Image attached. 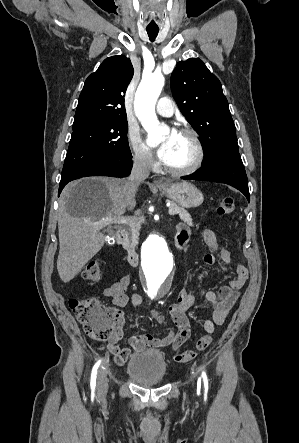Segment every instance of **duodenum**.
<instances>
[{"label": "duodenum", "instance_id": "410a0bca", "mask_svg": "<svg viewBox=\"0 0 299 443\" xmlns=\"http://www.w3.org/2000/svg\"><path fill=\"white\" fill-rule=\"evenodd\" d=\"M117 240L124 244L125 232L122 229H119L116 233ZM186 245V242L180 241L179 239L175 240V246L178 250H181ZM127 253L128 263L132 267H136L138 265L139 256L135 249L131 247H124Z\"/></svg>", "mask_w": 299, "mask_h": 443}]
</instances>
